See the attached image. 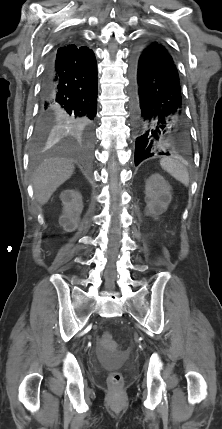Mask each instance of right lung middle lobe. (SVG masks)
<instances>
[{
	"label": "right lung middle lobe",
	"mask_w": 222,
	"mask_h": 429,
	"mask_svg": "<svg viewBox=\"0 0 222 429\" xmlns=\"http://www.w3.org/2000/svg\"><path fill=\"white\" fill-rule=\"evenodd\" d=\"M54 137V129H46L37 127L34 134V143L35 148H40L43 146L48 140Z\"/></svg>",
	"instance_id": "dd1d6c3e"
}]
</instances>
